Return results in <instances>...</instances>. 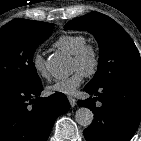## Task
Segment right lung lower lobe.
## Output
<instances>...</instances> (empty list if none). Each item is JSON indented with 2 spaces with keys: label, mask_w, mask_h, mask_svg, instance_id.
I'll return each mask as SVG.
<instances>
[{
  "label": "right lung lower lobe",
  "mask_w": 141,
  "mask_h": 141,
  "mask_svg": "<svg viewBox=\"0 0 141 141\" xmlns=\"http://www.w3.org/2000/svg\"><path fill=\"white\" fill-rule=\"evenodd\" d=\"M41 82L31 85L0 84V141H46L56 118L70 104L63 93L38 97Z\"/></svg>",
  "instance_id": "98d812e1"
}]
</instances>
